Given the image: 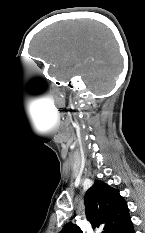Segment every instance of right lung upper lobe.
Wrapping results in <instances>:
<instances>
[{
  "label": "right lung upper lobe",
  "instance_id": "1",
  "mask_svg": "<svg viewBox=\"0 0 145 233\" xmlns=\"http://www.w3.org/2000/svg\"><path fill=\"white\" fill-rule=\"evenodd\" d=\"M84 201L87 220L92 227L102 226V233H115L130 218L127 203L119 191L102 181H95ZM59 233H82V230L69 222Z\"/></svg>",
  "mask_w": 145,
  "mask_h": 233
}]
</instances>
